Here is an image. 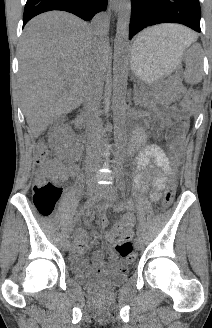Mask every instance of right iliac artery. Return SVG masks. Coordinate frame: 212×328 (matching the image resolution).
<instances>
[{
    "label": "right iliac artery",
    "instance_id": "82829eb1",
    "mask_svg": "<svg viewBox=\"0 0 212 328\" xmlns=\"http://www.w3.org/2000/svg\"><path fill=\"white\" fill-rule=\"evenodd\" d=\"M97 201V197L94 196L87 200V202L82 206L81 211L76 215V217L70 222L69 227L66 231V237H69V233L72 231L73 227L75 226L76 222L79 221L80 215L86 210V208L92 206Z\"/></svg>",
    "mask_w": 212,
    "mask_h": 328
}]
</instances>
